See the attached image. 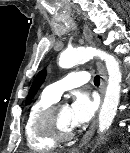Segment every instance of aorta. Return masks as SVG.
Instances as JSON below:
<instances>
[{
  "mask_svg": "<svg viewBox=\"0 0 130 153\" xmlns=\"http://www.w3.org/2000/svg\"><path fill=\"white\" fill-rule=\"evenodd\" d=\"M94 56L105 62L108 71V85L99 113V131L103 132L111 126L119 104L122 77L118 61L105 51L81 47L61 53L59 66L64 69L72 68L89 61Z\"/></svg>",
  "mask_w": 130,
  "mask_h": 153,
  "instance_id": "1",
  "label": "aorta"
}]
</instances>
